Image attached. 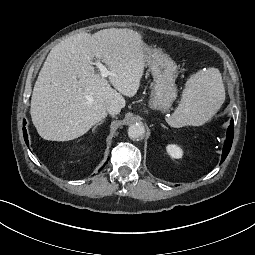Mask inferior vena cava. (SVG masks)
<instances>
[{"mask_svg":"<svg viewBox=\"0 0 255 255\" xmlns=\"http://www.w3.org/2000/svg\"><path fill=\"white\" fill-rule=\"evenodd\" d=\"M104 106L106 108V111L110 114V115H116L120 112L121 110V107L120 105L118 104L117 101L115 100H107L105 103H104Z\"/></svg>","mask_w":255,"mask_h":255,"instance_id":"602c4592","label":"inferior vena cava"}]
</instances>
